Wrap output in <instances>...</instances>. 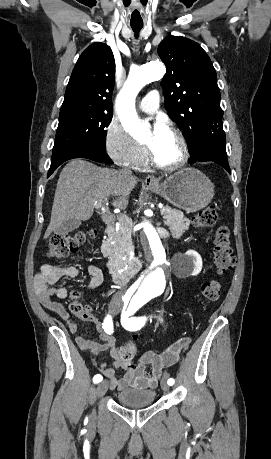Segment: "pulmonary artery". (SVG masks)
Returning <instances> with one entry per match:
<instances>
[{"label": "pulmonary artery", "mask_w": 271, "mask_h": 459, "mask_svg": "<svg viewBox=\"0 0 271 459\" xmlns=\"http://www.w3.org/2000/svg\"><path fill=\"white\" fill-rule=\"evenodd\" d=\"M162 98L158 89H151L149 95L140 99L139 109L145 113H155L161 104Z\"/></svg>", "instance_id": "pulmonary-artery-1"}]
</instances>
